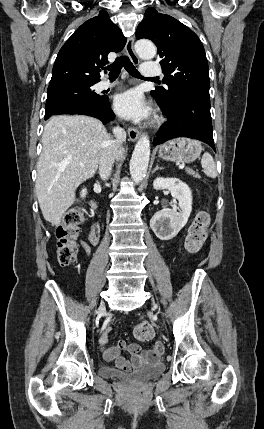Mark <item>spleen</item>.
Listing matches in <instances>:
<instances>
[{
    "instance_id": "obj_1",
    "label": "spleen",
    "mask_w": 264,
    "mask_h": 429,
    "mask_svg": "<svg viewBox=\"0 0 264 429\" xmlns=\"http://www.w3.org/2000/svg\"><path fill=\"white\" fill-rule=\"evenodd\" d=\"M201 165L203 168V172L206 176L210 178H216L217 170L216 165L213 160V157L208 152H205L201 159Z\"/></svg>"
}]
</instances>
